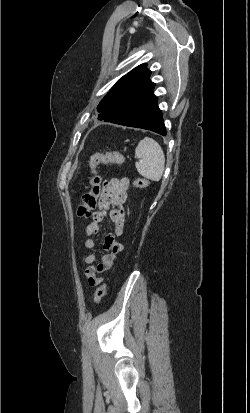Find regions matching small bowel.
Returning a JSON list of instances; mask_svg holds the SVG:
<instances>
[{"mask_svg": "<svg viewBox=\"0 0 250 413\" xmlns=\"http://www.w3.org/2000/svg\"><path fill=\"white\" fill-rule=\"evenodd\" d=\"M130 181L128 178H112L104 184L102 195L99 199L96 210L92 213V221L84 228L87 239L84 247L93 249L96 242L93 237L99 233V223L108 215L113 224V231L105 237L103 248L107 251L97 262L95 254H88L84 258L87 265L85 277L90 287H95L103 281L101 273L111 270L114 266L118 254L123 251V245L117 242V238L124 231V204L127 200Z\"/></svg>", "mask_w": 250, "mask_h": 413, "instance_id": "1", "label": "small bowel"}]
</instances>
